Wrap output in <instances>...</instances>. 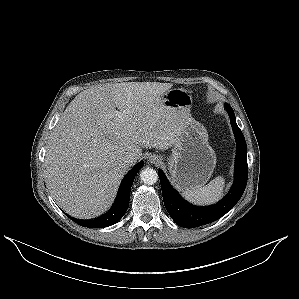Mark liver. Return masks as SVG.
Masks as SVG:
<instances>
[{"label":"liver","instance_id":"obj_1","mask_svg":"<svg viewBox=\"0 0 299 299\" xmlns=\"http://www.w3.org/2000/svg\"><path fill=\"white\" fill-rule=\"evenodd\" d=\"M171 87L116 83L84 90L70 102L48 139L44 161L47 187L66 213L80 219L101 215L142 148L177 144L182 120L163 99ZM128 153L135 156L131 165L123 162Z\"/></svg>","mask_w":299,"mask_h":299}]
</instances>
